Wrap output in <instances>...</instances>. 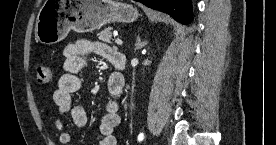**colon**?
Wrapping results in <instances>:
<instances>
[{"mask_svg": "<svg viewBox=\"0 0 276 145\" xmlns=\"http://www.w3.org/2000/svg\"><path fill=\"white\" fill-rule=\"evenodd\" d=\"M52 77L51 69L48 65L39 64L35 69V81L39 85H46Z\"/></svg>", "mask_w": 276, "mask_h": 145, "instance_id": "5ec220e1", "label": "colon"}]
</instances>
